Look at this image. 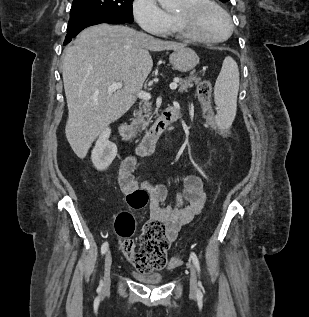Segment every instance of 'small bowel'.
<instances>
[{"instance_id":"small-bowel-1","label":"small bowel","mask_w":309,"mask_h":317,"mask_svg":"<svg viewBox=\"0 0 309 317\" xmlns=\"http://www.w3.org/2000/svg\"><path fill=\"white\" fill-rule=\"evenodd\" d=\"M135 167L136 159L132 156L122 162L119 172L122 192L128 195L138 189L147 191L150 196L151 218L161 221L165 225L169 241H174L181 227L196 217L205 205L206 190L203 180L199 175L191 174L185 178L182 190L172 194L163 185L139 183L133 175Z\"/></svg>"}]
</instances>
